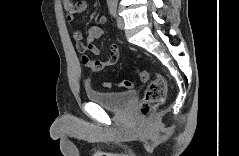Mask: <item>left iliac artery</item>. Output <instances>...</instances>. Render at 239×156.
Instances as JSON below:
<instances>
[{
	"instance_id": "left-iliac-artery-1",
	"label": "left iliac artery",
	"mask_w": 239,
	"mask_h": 156,
	"mask_svg": "<svg viewBox=\"0 0 239 156\" xmlns=\"http://www.w3.org/2000/svg\"><path fill=\"white\" fill-rule=\"evenodd\" d=\"M109 11L110 14L115 17L116 16V11H117V3L116 2H111L109 3Z\"/></svg>"
}]
</instances>
